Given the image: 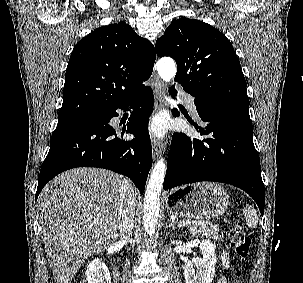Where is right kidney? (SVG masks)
Listing matches in <instances>:
<instances>
[{
    "mask_svg": "<svg viewBox=\"0 0 303 283\" xmlns=\"http://www.w3.org/2000/svg\"><path fill=\"white\" fill-rule=\"evenodd\" d=\"M85 275L88 283H111L109 270L99 258L89 263Z\"/></svg>",
    "mask_w": 303,
    "mask_h": 283,
    "instance_id": "ca27d5eb",
    "label": "right kidney"
}]
</instances>
